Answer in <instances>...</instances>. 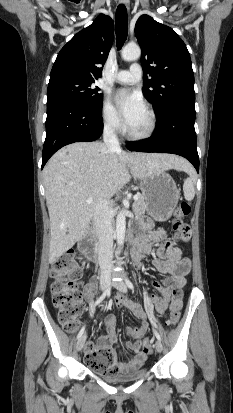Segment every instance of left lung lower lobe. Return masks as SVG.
Returning a JSON list of instances; mask_svg holds the SVG:
<instances>
[{
  "instance_id": "0a47b994",
  "label": "left lung lower lobe",
  "mask_w": 233,
  "mask_h": 413,
  "mask_svg": "<svg viewBox=\"0 0 233 413\" xmlns=\"http://www.w3.org/2000/svg\"><path fill=\"white\" fill-rule=\"evenodd\" d=\"M195 116L194 111L181 107L164 112L158 115L159 125L153 136L127 144V148L138 152L177 154L189 160L199 172Z\"/></svg>"
}]
</instances>
